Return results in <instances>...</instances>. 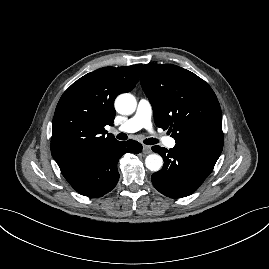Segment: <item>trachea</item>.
Instances as JSON below:
<instances>
[{
	"label": "trachea",
	"mask_w": 269,
	"mask_h": 269,
	"mask_svg": "<svg viewBox=\"0 0 269 269\" xmlns=\"http://www.w3.org/2000/svg\"><path fill=\"white\" fill-rule=\"evenodd\" d=\"M117 139H119V140H126L127 139V135L125 133H119L117 135ZM144 143L147 144V145H152V144L158 143V141L156 139L149 138V139H145L144 140Z\"/></svg>",
	"instance_id": "obj_1"
}]
</instances>
